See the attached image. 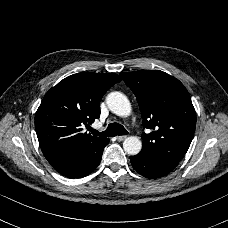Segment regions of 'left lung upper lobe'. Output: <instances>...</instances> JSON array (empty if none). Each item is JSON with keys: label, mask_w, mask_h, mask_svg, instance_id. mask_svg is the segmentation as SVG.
I'll return each mask as SVG.
<instances>
[{"label": "left lung upper lobe", "mask_w": 228, "mask_h": 228, "mask_svg": "<svg viewBox=\"0 0 228 228\" xmlns=\"http://www.w3.org/2000/svg\"><path fill=\"white\" fill-rule=\"evenodd\" d=\"M137 97L144 128L141 154L179 162L186 154L196 127V113L183 84L160 70L120 73Z\"/></svg>", "instance_id": "obj_1"}]
</instances>
